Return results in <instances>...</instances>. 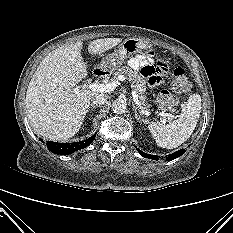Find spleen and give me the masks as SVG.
<instances>
[{
	"mask_svg": "<svg viewBox=\"0 0 233 233\" xmlns=\"http://www.w3.org/2000/svg\"><path fill=\"white\" fill-rule=\"evenodd\" d=\"M201 113V97L192 94L182 106L178 119L169 124L151 122L148 129L159 147L173 149L180 146L193 133Z\"/></svg>",
	"mask_w": 233,
	"mask_h": 233,
	"instance_id": "obj_1",
	"label": "spleen"
}]
</instances>
